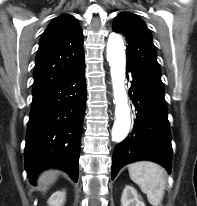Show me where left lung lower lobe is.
Masks as SVG:
<instances>
[{
  "label": "left lung lower lobe",
  "mask_w": 197,
  "mask_h": 206,
  "mask_svg": "<svg viewBox=\"0 0 197 206\" xmlns=\"http://www.w3.org/2000/svg\"><path fill=\"white\" fill-rule=\"evenodd\" d=\"M130 97L135 106L132 133L114 149L112 179L125 164L138 160H151L171 170V133L167 118L164 90L142 76L133 67Z\"/></svg>",
  "instance_id": "1"
}]
</instances>
